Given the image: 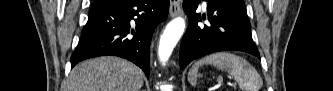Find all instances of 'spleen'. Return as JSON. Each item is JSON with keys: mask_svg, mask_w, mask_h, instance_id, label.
<instances>
[{"mask_svg": "<svg viewBox=\"0 0 333 91\" xmlns=\"http://www.w3.org/2000/svg\"><path fill=\"white\" fill-rule=\"evenodd\" d=\"M203 65L227 71L238 83L241 91H259L263 85V80L256 69L244 58L230 52L210 54L195 62L188 72L190 84L196 85L198 70Z\"/></svg>", "mask_w": 333, "mask_h": 91, "instance_id": "3e777b00", "label": "spleen"}]
</instances>
